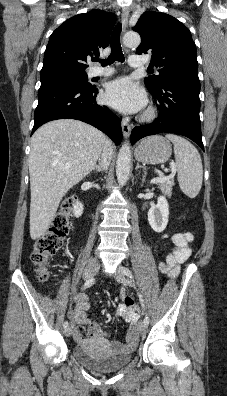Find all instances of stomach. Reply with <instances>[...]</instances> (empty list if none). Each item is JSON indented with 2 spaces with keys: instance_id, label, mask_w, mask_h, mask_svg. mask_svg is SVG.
Here are the masks:
<instances>
[{
  "instance_id": "0dacf381",
  "label": "stomach",
  "mask_w": 227,
  "mask_h": 396,
  "mask_svg": "<svg viewBox=\"0 0 227 396\" xmlns=\"http://www.w3.org/2000/svg\"><path fill=\"white\" fill-rule=\"evenodd\" d=\"M171 144L162 136H150L135 148V158L146 164H161L171 156Z\"/></svg>"
}]
</instances>
